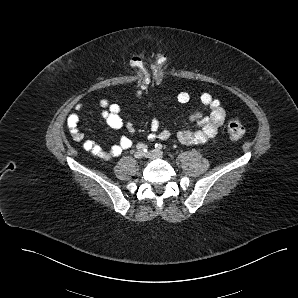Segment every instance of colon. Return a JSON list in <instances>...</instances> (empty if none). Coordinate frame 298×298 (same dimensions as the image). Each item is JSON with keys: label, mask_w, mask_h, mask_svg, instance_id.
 Segmentation results:
<instances>
[{"label": "colon", "mask_w": 298, "mask_h": 298, "mask_svg": "<svg viewBox=\"0 0 298 298\" xmlns=\"http://www.w3.org/2000/svg\"><path fill=\"white\" fill-rule=\"evenodd\" d=\"M165 59L162 53H158L154 61L148 64L144 57L137 55L132 58V65L138 72L137 90L138 92L146 91L150 81L154 79L157 83L164 80ZM228 136L231 141L238 142L245 135V128L240 120L232 119L227 127Z\"/></svg>", "instance_id": "colon-1"}]
</instances>
